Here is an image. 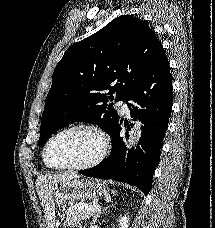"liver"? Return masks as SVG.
Wrapping results in <instances>:
<instances>
[{"label": "liver", "instance_id": "6515ba94", "mask_svg": "<svg viewBox=\"0 0 215 228\" xmlns=\"http://www.w3.org/2000/svg\"><path fill=\"white\" fill-rule=\"evenodd\" d=\"M81 178L75 172H65V174H48V176H38L35 184L37 194L41 200L47 228H54L56 222L55 204L52 200V188L64 182V180H76Z\"/></svg>", "mask_w": 215, "mask_h": 228}]
</instances>
